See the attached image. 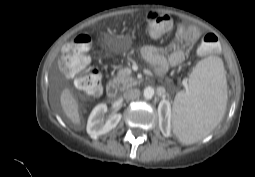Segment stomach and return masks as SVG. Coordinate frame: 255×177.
I'll use <instances>...</instances> for the list:
<instances>
[{"mask_svg": "<svg viewBox=\"0 0 255 177\" xmlns=\"http://www.w3.org/2000/svg\"><path fill=\"white\" fill-rule=\"evenodd\" d=\"M116 46L118 50H126L131 45V39L128 34H121L115 37Z\"/></svg>", "mask_w": 255, "mask_h": 177, "instance_id": "0dacf381", "label": "stomach"}]
</instances>
